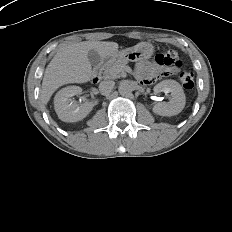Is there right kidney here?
Listing matches in <instances>:
<instances>
[{
	"instance_id": "1",
	"label": "right kidney",
	"mask_w": 232,
	"mask_h": 232,
	"mask_svg": "<svg viewBox=\"0 0 232 232\" xmlns=\"http://www.w3.org/2000/svg\"><path fill=\"white\" fill-rule=\"evenodd\" d=\"M79 86H67L58 91L54 97V108L60 120L64 122H77L84 119L93 109L92 102H85L80 106L71 101V97L80 95Z\"/></svg>"
}]
</instances>
